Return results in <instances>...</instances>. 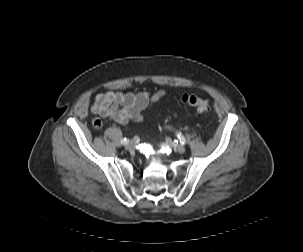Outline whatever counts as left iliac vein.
I'll use <instances>...</instances> for the list:
<instances>
[{
  "label": "left iliac vein",
  "mask_w": 303,
  "mask_h": 252,
  "mask_svg": "<svg viewBox=\"0 0 303 252\" xmlns=\"http://www.w3.org/2000/svg\"><path fill=\"white\" fill-rule=\"evenodd\" d=\"M166 142L168 144H171L178 153L182 154V153L185 152V147L183 145L175 143V142H172L169 138L166 139Z\"/></svg>",
  "instance_id": "4c4485c4"
}]
</instances>
